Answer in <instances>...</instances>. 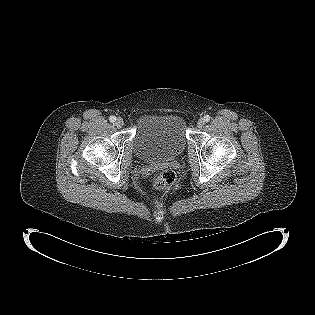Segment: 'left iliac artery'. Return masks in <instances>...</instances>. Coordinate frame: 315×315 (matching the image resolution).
<instances>
[{
    "label": "left iliac artery",
    "mask_w": 315,
    "mask_h": 315,
    "mask_svg": "<svg viewBox=\"0 0 315 315\" xmlns=\"http://www.w3.org/2000/svg\"><path fill=\"white\" fill-rule=\"evenodd\" d=\"M204 120H205V122H209L210 121V116L209 115H205L204 116Z\"/></svg>",
    "instance_id": "1"
}]
</instances>
